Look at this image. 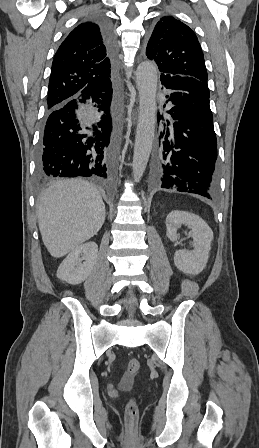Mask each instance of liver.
<instances>
[{
    "label": "liver",
    "mask_w": 259,
    "mask_h": 448,
    "mask_svg": "<svg viewBox=\"0 0 259 448\" xmlns=\"http://www.w3.org/2000/svg\"><path fill=\"white\" fill-rule=\"evenodd\" d=\"M38 224L44 246L62 258L96 236L105 222V204L93 184L60 180L38 198Z\"/></svg>",
    "instance_id": "1"
}]
</instances>
